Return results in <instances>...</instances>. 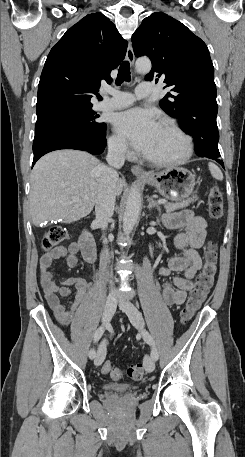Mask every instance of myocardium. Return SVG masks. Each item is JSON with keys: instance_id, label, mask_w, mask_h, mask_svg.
Wrapping results in <instances>:
<instances>
[{"instance_id": "myocardium-1", "label": "myocardium", "mask_w": 245, "mask_h": 457, "mask_svg": "<svg viewBox=\"0 0 245 457\" xmlns=\"http://www.w3.org/2000/svg\"><path fill=\"white\" fill-rule=\"evenodd\" d=\"M160 127L178 135L182 139L183 145H182L181 153L178 155H175V156H167V157H153V156L144 154L143 158L146 161L151 162L155 165H159V166H172V165L184 163L191 156V153H192V141H191L190 137L183 130H181L177 125H175L174 123H172L170 121H167V120L163 121L161 123Z\"/></svg>"}]
</instances>
